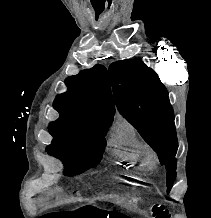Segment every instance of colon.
I'll list each match as a JSON object with an SVG mask.
<instances>
[{
  "instance_id": "1",
  "label": "colon",
  "mask_w": 211,
  "mask_h": 218,
  "mask_svg": "<svg viewBox=\"0 0 211 218\" xmlns=\"http://www.w3.org/2000/svg\"><path fill=\"white\" fill-rule=\"evenodd\" d=\"M131 197H132L133 199H138L137 196H136L135 194H131ZM166 218H169V217L166 216Z\"/></svg>"
}]
</instances>
